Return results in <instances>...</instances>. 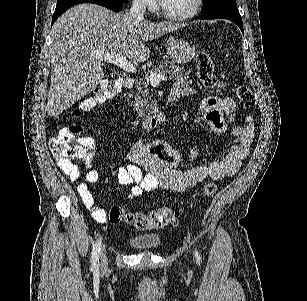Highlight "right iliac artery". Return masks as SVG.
I'll return each mask as SVG.
<instances>
[{"instance_id": "82829eb1", "label": "right iliac artery", "mask_w": 307, "mask_h": 301, "mask_svg": "<svg viewBox=\"0 0 307 301\" xmlns=\"http://www.w3.org/2000/svg\"><path fill=\"white\" fill-rule=\"evenodd\" d=\"M101 247V241H97L93 245L92 256H91V269L96 270L98 268L99 263V252Z\"/></svg>"}]
</instances>
